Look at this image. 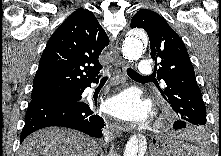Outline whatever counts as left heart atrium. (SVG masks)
Returning <instances> with one entry per match:
<instances>
[{"instance_id": "left-heart-atrium-1", "label": "left heart atrium", "mask_w": 221, "mask_h": 156, "mask_svg": "<svg viewBox=\"0 0 221 156\" xmlns=\"http://www.w3.org/2000/svg\"><path fill=\"white\" fill-rule=\"evenodd\" d=\"M105 107L113 117L134 123L144 121L150 112L149 104L142 101L134 90H126L113 96Z\"/></svg>"}]
</instances>
